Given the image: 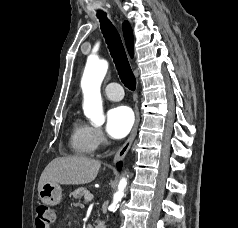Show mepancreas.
<instances>
[{
  "instance_id": "pancreas-1",
  "label": "pancreas",
  "mask_w": 238,
  "mask_h": 228,
  "mask_svg": "<svg viewBox=\"0 0 238 228\" xmlns=\"http://www.w3.org/2000/svg\"><path fill=\"white\" fill-rule=\"evenodd\" d=\"M89 191L85 187H79L75 191L71 193V195L75 199H81V197L85 196Z\"/></svg>"
}]
</instances>
